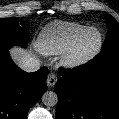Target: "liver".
Listing matches in <instances>:
<instances>
[{
  "label": "liver",
  "instance_id": "liver-1",
  "mask_svg": "<svg viewBox=\"0 0 119 119\" xmlns=\"http://www.w3.org/2000/svg\"><path fill=\"white\" fill-rule=\"evenodd\" d=\"M30 56L31 52L23 48L14 46L10 49V57L14 60V62L18 63L19 65L26 59L30 58Z\"/></svg>",
  "mask_w": 119,
  "mask_h": 119
}]
</instances>
